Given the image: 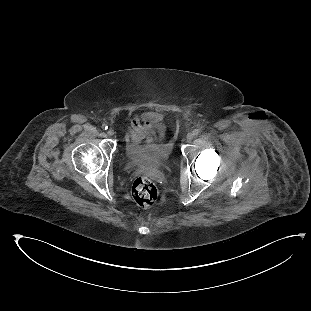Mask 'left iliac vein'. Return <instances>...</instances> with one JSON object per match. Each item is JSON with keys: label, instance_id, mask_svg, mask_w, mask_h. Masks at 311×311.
I'll list each match as a JSON object with an SVG mask.
<instances>
[{"label": "left iliac vein", "instance_id": "obj_1", "mask_svg": "<svg viewBox=\"0 0 311 311\" xmlns=\"http://www.w3.org/2000/svg\"><path fill=\"white\" fill-rule=\"evenodd\" d=\"M186 138L188 141H191L194 138V134L190 132L187 134Z\"/></svg>", "mask_w": 311, "mask_h": 311}]
</instances>
